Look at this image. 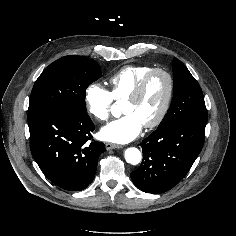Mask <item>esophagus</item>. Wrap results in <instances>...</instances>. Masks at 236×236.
<instances>
[{
	"label": "esophagus",
	"instance_id": "1",
	"mask_svg": "<svg viewBox=\"0 0 236 236\" xmlns=\"http://www.w3.org/2000/svg\"><path fill=\"white\" fill-rule=\"evenodd\" d=\"M105 145H106V149L107 150H111V149H115V148H120L119 145L114 144V143H106Z\"/></svg>",
	"mask_w": 236,
	"mask_h": 236
}]
</instances>
